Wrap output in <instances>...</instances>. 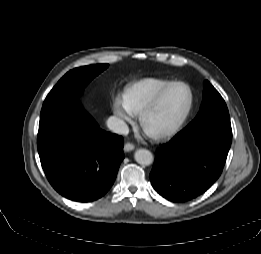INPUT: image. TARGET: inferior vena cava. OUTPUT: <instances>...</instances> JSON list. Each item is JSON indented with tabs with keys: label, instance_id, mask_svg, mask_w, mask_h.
<instances>
[{
	"label": "inferior vena cava",
	"instance_id": "obj_1",
	"mask_svg": "<svg viewBox=\"0 0 261 254\" xmlns=\"http://www.w3.org/2000/svg\"><path fill=\"white\" fill-rule=\"evenodd\" d=\"M108 128L119 135H127L129 128L127 124L116 116H111L107 119Z\"/></svg>",
	"mask_w": 261,
	"mask_h": 254
}]
</instances>
